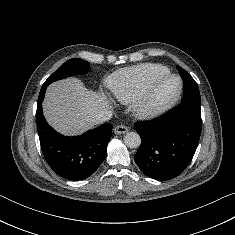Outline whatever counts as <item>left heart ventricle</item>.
<instances>
[{
  "instance_id": "b2bd125f",
  "label": "left heart ventricle",
  "mask_w": 235,
  "mask_h": 235,
  "mask_svg": "<svg viewBox=\"0 0 235 235\" xmlns=\"http://www.w3.org/2000/svg\"><path fill=\"white\" fill-rule=\"evenodd\" d=\"M178 83L174 79L161 81L156 85L152 94V102L160 104L169 100L177 91Z\"/></svg>"
}]
</instances>
